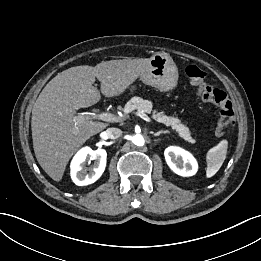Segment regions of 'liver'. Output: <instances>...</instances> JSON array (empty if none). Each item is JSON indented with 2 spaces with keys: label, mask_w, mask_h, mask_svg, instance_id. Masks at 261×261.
Listing matches in <instances>:
<instances>
[{
  "label": "liver",
  "mask_w": 261,
  "mask_h": 261,
  "mask_svg": "<svg viewBox=\"0 0 261 261\" xmlns=\"http://www.w3.org/2000/svg\"><path fill=\"white\" fill-rule=\"evenodd\" d=\"M150 58L110 60L71 67L55 76L42 90L32 109V139L42 169L59 182L73 154L108 124L92 120L74 122L76 111L99 102L101 93L115 97L125 92L148 68Z\"/></svg>",
  "instance_id": "6515ba94"
}]
</instances>
